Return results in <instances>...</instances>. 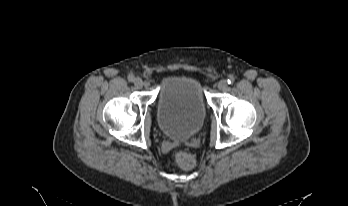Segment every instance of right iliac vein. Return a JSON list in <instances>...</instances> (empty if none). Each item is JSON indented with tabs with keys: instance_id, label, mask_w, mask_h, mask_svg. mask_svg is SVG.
<instances>
[{
	"instance_id": "right-iliac-vein-1",
	"label": "right iliac vein",
	"mask_w": 348,
	"mask_h": 206,
	"mask_svg": "<svg viewBox=\"0 0 348 206\" xmlns=\"http://www.w3.org/2000/svg\"><path fill=\"white\" fill-rule=\"evenodd\" d=\"M134 85L136 88H142L143 87V80L139 77H137L135 80H134Z\"/></svg>"
}]
</instances>
